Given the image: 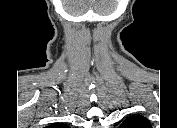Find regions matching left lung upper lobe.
<instances>
[{
  "instance_id": "1",
  "label": "left lung upper lobe",
  "mask_w": 177,
  "mask_h": 128,
  "mask_svg": "<svg viewBox=\"0 0 177 128\" xmlns=\"http://www.w3.org/2000/svg\"><path fill=\"white\" fill-rule=\"evenodd\" d=\"M149 121L140 115H134L125 119L121 128H150Z\"/></svg>"
}]
</instances>
